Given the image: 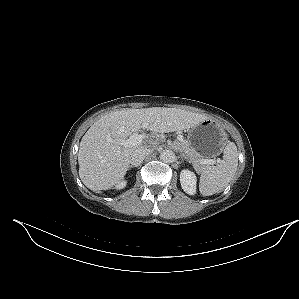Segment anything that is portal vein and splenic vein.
<instances>
[{
  "mask_svg": "<svg viewBox=\"0 0 299 299\" xmlns=\"http://www.w3.org/2000/svg\"><path fill=\"white\" fill-rule=\"evenodd\" d=\"M143 135L138 134V133H134L132 134L127 140H125L124 142H122V145L125 147H131V146H135L138 145L142 142L143 140ZM110 142H112V139H108ZM178 140L179 141H183V137L181 135L178 136ZM203 165H213L216 163L215 159H203L200 162Z\"/></svg>",
  "mask_w": 299,
  "mask_h": 299,
  "instance_id": "obj_1",
  "label": "portal vein and splenic vein"
}]
</instances>
